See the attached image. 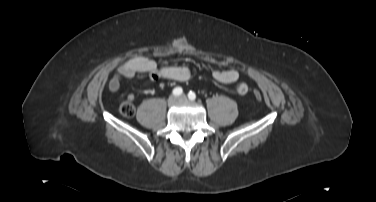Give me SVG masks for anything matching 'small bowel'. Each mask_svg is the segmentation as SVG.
<instances>
[{"label":"small bowel","mask_w":376,"mask_h":202,"mask_svg":"<svg viewBox=\"0 0 376 202\" xmlns=\"http://www.w3.org/2000/svg\"><path fill=\"white\" fill-rule=\"evenodd\" d=\"M142 75L150 80L166 79L177 82H187L192 74L186 66L166 65L159 67L156 62L145 56H136L123 62L113 73L109 82L108 89L111 92L119 90L123 78H133ZM216 81L222 84H232L239 80V72L235 69L217 70L213 73ZM235 92L243 96L248 92V86L244 82H238L235 85ZM128 100L133 101L134 95H128Z\"/></svg>","instance_id":"c3829d8e"}]
</instances>
